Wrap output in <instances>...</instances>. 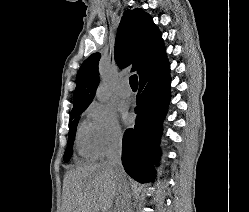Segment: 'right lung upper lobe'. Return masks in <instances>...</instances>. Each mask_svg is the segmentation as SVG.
Returning <instances> with one entry per match:
<instances>
[{"instance_id": "cb5924a9", "label": "right lung upper lobe", "mask_w": 249, "mask_h": 212, "mask_svg": "<svg viewBox=\"0 0 249 212\" xmlns=\"http://www.w3.org/2000/svg\"><path fill=\"white\" fill-rule=\"evenodd\" d=\"M114 55L119 67L133 64L132 71H137L139 76L166 56L161 32L148 13L142 9L124 12L117 31ZM99 59L100 54L95 53L81 65L72 110L87 108L92 102L100 81Z\"/></svg>"}]
</instances>
